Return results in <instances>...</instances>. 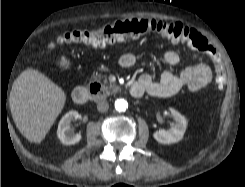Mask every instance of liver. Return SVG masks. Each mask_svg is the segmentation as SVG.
I'll use <instances>...</instances> for the list:
<instances>
[{
    "label": "liver",
    "mask_w": 245,
    "mask_h": 187,
    "mask_svg": "<svg viewBox=\"0 0 245 187\" xmlns=\"http://www.w3.org/2000/svg\"><path fill=\"white\" fill-rule=\"evenodd\" d=\"M66 102L64 91L34 69L24 70L14 81L9 104L20 133L30 142L41 143Z\"/></svg>",
    "instance_id": "liver-1"
}]
</instances>
